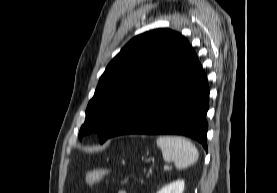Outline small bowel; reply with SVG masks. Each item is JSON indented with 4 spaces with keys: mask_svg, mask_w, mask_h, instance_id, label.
Segmentation results:
<instances>
[{
    "mask_svg": "<svg viewBox=\"0 0 277 193\" xmlns=\"http://www.w3.org/2000/svg\"><path fill=\"white\" fill-rule=\"evenodd\" d=\"M117 193H127V192L124 190H119Z\"/></svg>",
    "mask_w": 277,
    "mask_h": 193,
    "instance_id": "obj_1",
    "label": "small bowel"
}]
</instances>
